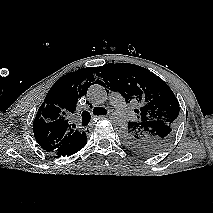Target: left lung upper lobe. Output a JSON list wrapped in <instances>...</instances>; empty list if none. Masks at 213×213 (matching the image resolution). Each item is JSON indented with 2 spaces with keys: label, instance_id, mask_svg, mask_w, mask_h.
<instances>
[{
  "label": "left lung upper lobe",
  "instance_id": "obj_1",
  "mask_svg": "<svg viewBox=\"0 0 213 213\" xmlns=\"http://www.w3.org/2000/svg\"><path fill=\"white\" fill-rule=\"evenodd\" d=\"M95 72L103 79L98 83L136 105L137 119L122 132L125 144L144 155L167 148L176 133L180 109L170 87L146 68L130 63L105 64Z\"/></svg>",
  "mask_w": 213,
  "mask_h": 213
}]
</instances>
